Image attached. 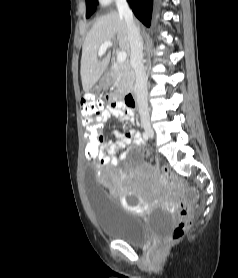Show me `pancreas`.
Listing matches in <instances>:
<instances>
[{"label": "pancreas", "instance_id": "1", "mask_svg": "<svg viewBox=\"0 0 238 278\" xmlns=\"http://www.w3.org/2000/svg\"><path fill=\"white\" fill-rule=\"evenodd\" d=\"M113 72L115 75V86L117 90L124 94L133 89L135 77L128 64L116 63L113 66Z\"/></svg>", "mask_w": 238, "mask_h": 278}]
</instances>
